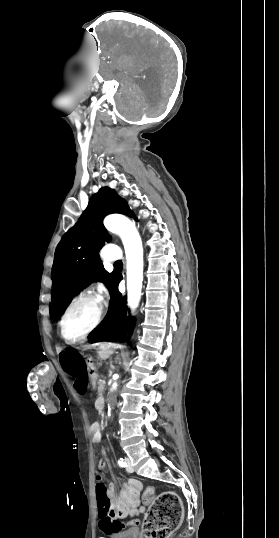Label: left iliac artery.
<instances>
[{
    "mask_svg": "<svg viewBox=\"0 0 279 538\" xmlns=\"http://www.w3.org/2000/svg\"><path fill=\"white\" fill-rule=\"evenodd\" d=\"M118 464H119L120 467H126L127 466L126 462L122 458H120L118 460Z\"/></svg>",
    "mask_w": 279,
    "mask_h": 538,
    "instance_id": "44dca946",
    "label": "left iliac artery"
}]
</instances>
